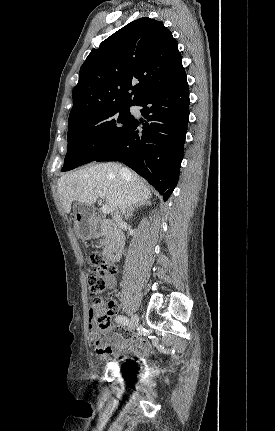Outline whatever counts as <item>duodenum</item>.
<instances>
[{"label": "duodenum", "mask_w": 275, "mask_h": 431, "mask_svg": "<svg viewBox=\"0 0 275 431\" xmlns=\"http://www.w3.org/2000/svg\"><path fill=\"white\" fill-rule=\"evenodd\" d=\"M93 225L95 232H97L98 229H102L110 234V241L105 253L110 261H119L125 245V236L123 232L108 219L96 218L94 219Z\"/></svg>", "instance_id": "1"}]
</instances>
